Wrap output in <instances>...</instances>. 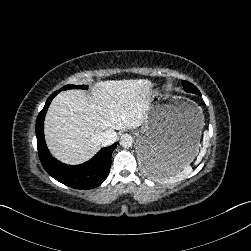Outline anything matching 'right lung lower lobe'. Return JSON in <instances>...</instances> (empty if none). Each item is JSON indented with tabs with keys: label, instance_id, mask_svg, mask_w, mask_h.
Returning a JSON list of instances; mask_svg holds the SVG:
<instances>
[{
	"label": "right lung lower lobe",
	"instance_id": "obj_1",
	"mask_svg": "<svg viewBox=\"0 0 251 251\" xmlns=\"http://www.w3.org/2000/svg\"><path fill=\"white\" fill-rule=\"evenodd\" d=\"M58 93L59 91H55L49 96L36 121L37 147L41 164L50 176L64 185L76 189L98 187L109 174L111 156L116 144L102 148L91 160L76 166L63 164L52 157L45 143L43 128L48 107Z\"/></svg>",
	"mask_w": 251,
	"mask_h": 251
}]
</instances>
